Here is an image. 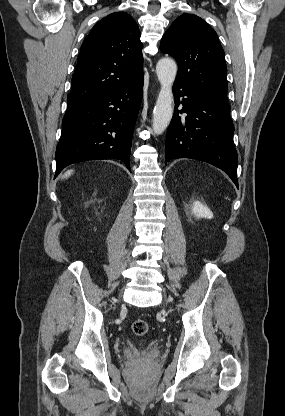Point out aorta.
<instances>
[{
	"instance_id": "obj_1",
	"label": "aorta",
	"mask_w": 285,
	"mask_h": 416,
	"mask_svg": "<svg viewBox=\"0 0 285 416\" xmlns=\"http://www.w3.org/2000/svg\"><path fill=\"white\" fill-rule=\"evenodd\" d=\"M156 74L161 88L153 112L152 128L155 134H162L173 115L172 86L177 74V65L170 58H162L157 63Z\"/></svg>"
}]
</instances>
